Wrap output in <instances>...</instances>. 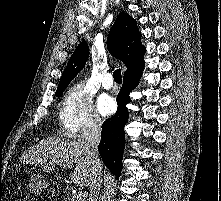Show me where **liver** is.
<instances>
[{
	"instance_id": "6515ba94",
	"label": "liver",
	"mask_w": 221,
	"mask_h": 201,
	"mask_svg": "<svg viewBox=\"0 0 221 201\" xmlns=\"http://www.w3.org/2000/svg\"><path fill=\"white\" fill-rule=\"evenodd\" d=\"M21 160L26 164L40 165L46 172L52 171L55 165L74 168L71 176L72 182L80 187H87L90 184L91 167L88 147L84 139H42L25 151ZM47 161H49V166Z\"/></svg>"
}]
</instances>
